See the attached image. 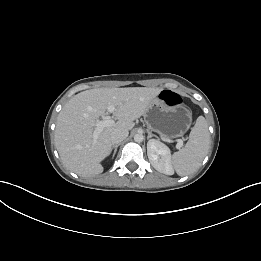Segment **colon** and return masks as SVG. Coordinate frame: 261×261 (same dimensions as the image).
Wrapping results in <instances>:
<instances>
[{"label": "colon", "instance_id": "obj_1", "mask_svg": "<svg viewBox=\"0 0 261 261\" xmlns=\"http://www.w3.org/2000/svg\"><path fill=\"white\" fill-rule=\"evenodd\" d=\"M160 99L169 106H175L181 102V98L178 94L171 90H165L161 92Z\"/></svg>", "mask_w": 261, "mask_h": 261}]
</instances>
